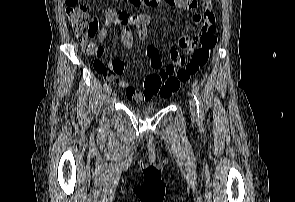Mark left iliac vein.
<instances>
[{"mask_svg": "<svg viewBox=\"0 0 295 202\" xmlns=\"http://www.w3.org/2000/svg\"><path fill=\"white\" fill-rule=\"evenodd\" d=\"M189 108H190V113L193 118L197 117V108H196V103L195 101L191 98L189 100Z\"/></svg>", "mask_w": 295, "mask_h": 202, "instance_id": "4c4485c4", "label": "left iliac vein"}]
</instances>
